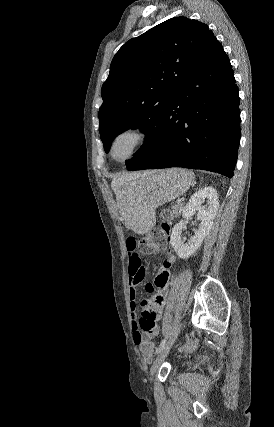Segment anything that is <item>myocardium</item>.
<instances>
[{
  "label": "myocardium",
  "instance_id": "obj_1",
  "mask_svg": "<svg viewBox=\"0 0 274 427\" xmlns=\"http://www.w3.org/2000/svg\"><path fill=\"white\" fill-rule=\"evenodd\" d=\"M124 134H130L134 138V145L131 153L123 160H115L112 154L113 146L117 138H119L121 135ZM150 138V135L148 131L138 124H132L125 126L121 129H119L114 135L111 137L109 144H108V156L112 161L118 164H124L129 162L130 160L134 159L139 152L144 148V146L148 143Z\"/></svg>",
  "mask_w": 274,
  "mask_h": 427
}]
</instances>
